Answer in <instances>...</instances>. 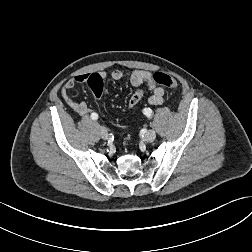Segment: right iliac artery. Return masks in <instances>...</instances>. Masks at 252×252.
<instances>
[{
    "label": "right iliac artery",
    "instance_id": "82829eb1",
    "mask_svg": "<svg viewBox=\"0 0 252 252\" xmlns=\"http://www.w3.org/2000/svg\"><path fill=\"white\" fill-rule=\"evenodd\" d=\"M91 119L92 120H97L98 119V114L97 113H92L91 114Z\"/></svg>",
    "mask_w": 252,
    "mask_h": 252
}]
</instances>
